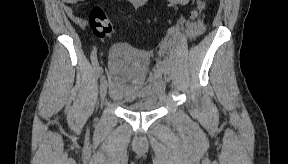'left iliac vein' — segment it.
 <instances>
[{
  "label": "left iliac vein",
  "instance_id": "4c4485c4",
  "mask_svg": "<svg viewBox=\"0 0 288 164\" xmlns=\"http://www.w3.org/2000/svg\"><path fill=\"white\" fill-rule=\"evenodd\" d=\"M166 77H167L168 80L172 79V77L169 74H167Z\"/></svg>",
  "mask_w": 288,
  "mask_h": 164
}]
</instances>
